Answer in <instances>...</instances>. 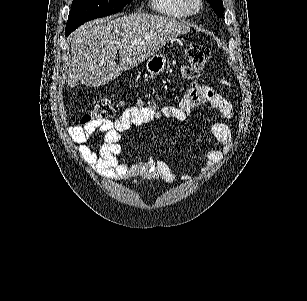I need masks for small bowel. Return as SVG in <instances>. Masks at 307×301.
<instances>
[{"label": "small bowel", "instance_id": "small-bowel-1", "mask_svg": "<svg viewBox=\"0 0 307 301\" xmlns=\"http://www.w3.org/2000/svg\"><path fill=\"white\" fill-rule=\"evenodd\" d=\"M204 104L220 112L226 119L234 117L233 105L226 98L208 86L194 83L176 106H167L161 110L132 106L114 121L71 126L69 136L77 144L81 157L91 165L98 175L104 178L115 180L160 178L170 184L175 181V175L165 161L147 158L132 164L129 162L122 151V133L133 126L150 124L160 118L185 121L195 108ZM206 127L220 147L209 149L206 154V164L201 169L202 173L208 171L226 156L233 145L232 133L228 125L221 121H210ZM95 133L101 135L102 143L98 149L93 150L88 146V142ZM190 178L191 176H185L182 179L188 180Z\"/></svg>", "mask_w": 307, "mask_h": 301}]
</instances>
